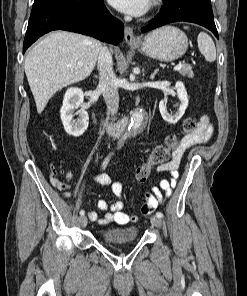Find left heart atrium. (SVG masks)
Instances as JSON below:
<instances>
[{
  "instance_id": "left-heart-atrium-1",
  "label": "left heart atrium",
  "mask_w": 247,
  "mask_h": 296,
  "mask_svg": "<svg viewBox=\"0 0 247 296\" xmlns=\"http://www.w3.org/2000/svg\"><path fill=\"white\" fill-rule=\"evenodd\" d=\"M117 10L132 15H143L150 6V0H108Z\"/></svg>"
}]
</instances>
